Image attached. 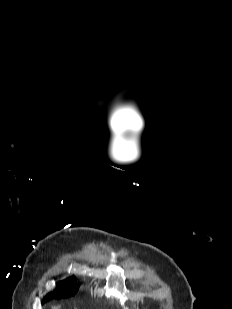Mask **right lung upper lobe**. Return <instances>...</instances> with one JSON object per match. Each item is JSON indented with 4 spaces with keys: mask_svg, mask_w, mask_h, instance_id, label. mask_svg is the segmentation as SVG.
<instances>
[{
    "mask_svg": "<svg viewBox=\"0 0 232 309\" xmlns=\"http://www.w3.org/2000/svg\"><path fill=\"white\" fill-rule=\"evenodd\" d=\"M76 284V278L74 276L67 278L66 280L59 282L57 284V286H65V285H70V284ZM78 291V288L76 287V292L74 294H76ZM73 294V295H74ZM72 295V296H73ZM70 297V296H69ZM61 298H68V297H63V296H56V297H52V299H61Z\"/></svg>",
    "mask_w": 232,
    "mask_h": 309,
    "instance_id": "1",
    "label": "right lung upper lobe"
}]
</instances>
